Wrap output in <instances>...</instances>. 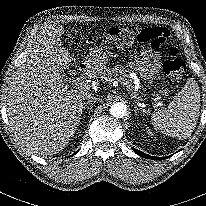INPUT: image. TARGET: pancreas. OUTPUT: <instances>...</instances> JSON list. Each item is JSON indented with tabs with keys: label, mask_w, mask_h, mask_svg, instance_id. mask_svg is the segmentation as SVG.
I'll return each mask as SVG.
<instances>
[{
	"label": "pancreas",
	"mask_w": 206,
	"mask_h": 206,
	"mask_svg": "<svg viewBox=\"0 0 206 206\" xmlns=\"http://www.w3.org/2000/svg\"><path fill=\"white\" fill-rule=\"evenodd\" d=\"M126 70H124L123 68H120V67H113L111 69H105L103 72H102V78L105 80V81H124V77L126 76Z\"/></svg>",
	"instance_id": "pancreas-1"
}]
</instances>
